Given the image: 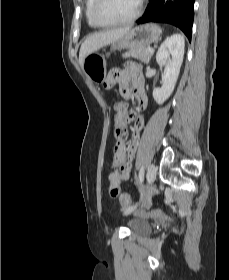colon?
<instances>
[{"instance_id": "5ec220e1", "label": "colon", "mask_w": 229, "mask_h": 280, "mask_svg": "<svg viewBox=\"0 0 229 280\" xmlns=\"http://www.w3.org/2000/svg\"><path fill=\"white\" fill-rule=\"evenodd\" d=\"M128 115L126 113H118L114 119V137L117 141H120L127 134V125H128ZM109 193L112 196H116L119 194V189L108 184ZM120 203L124 206H128L130 204V199L127 194L121 193L120 195ZM136 214L141 217H150V216H160L163 214L162 211H145L143 209H139L136 211Z\"/></svg>"}]
</instances>
